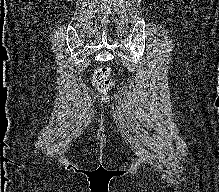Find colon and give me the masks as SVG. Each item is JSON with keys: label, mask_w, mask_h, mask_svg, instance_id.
<instances>
[{"label": "colon", "mask_w": 219, "mask_h": 192, "mask_svg": "<svg viewBox=\"0 0 219 192\" xmlns=\"http://www.w3.org/2000/svg\"><path fill=\"white\" fill-rule=\"evenodd\" d=\"M93 81L102 93L111 91L115 86L114 81L110 78V69L108 67H99L94 72Z\"/></svg>", "instance_id": "5ec220e1"}]
</instances>
